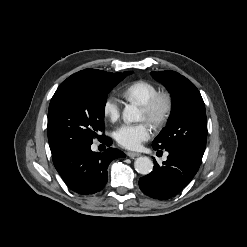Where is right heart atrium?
<instances>
[{"label": "right heart atrium", "mask_w": 247, "mask_h": 247, "mask_svg": "<svg viewBox=\"0 0 247 247\" xmlns=\"http://www.w3.org/2000/svg\"><path fill=\"white\" fill-rule=\"evenodd\" d=\"M120 112L121 108L119 100L112 95L107 96L102 105V113L104 117L111 122H115L119 119Z\"/></svg>", "instance_id": "right-heart-atrium-1"}]
</instances>
